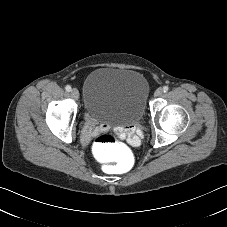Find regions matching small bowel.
<instances>
[{
  "label": "small bowel",
  "mask_w": 227,
  "mask_h": 227,
  "mask_svg": "<svg viewBox=\"0 0 227 227\" xmlns=\"http://www.w3.org/2000/svg\"><path fill=\"white\" fill-rule=\"evenodd\" d=\"M93 134H95V128L93 127L92 122L88 118L86 121L85 128L82 132V137H81L82 142L88 143L91 135ZM127 141L131 144H136L139 141V139L136 135L129 133L127 136Z\"/></svg>",
  "instance_id": "c3829d8e"
}]
</instances>
